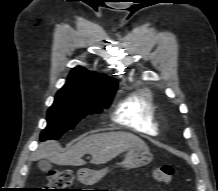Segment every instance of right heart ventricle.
<instances>
[{
    "label": "right heart ventricle",
    "mask_w": 218,
    "mask_h": 191,
    "mask_svg": "<svg viewBox=\"0 0 218 191\" xmlns=\"http://www.w3.org/2000/svg\"><path fill=\"white\" fill-rule=\"evenodd\" d=\"M117 120L138 132L155 135L159 131V120L148 90L132 93L120 102L116 109Z\"/></svg>",
    "instance_id": "obj_1"
}]
</instances>
